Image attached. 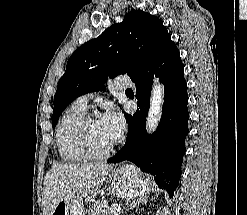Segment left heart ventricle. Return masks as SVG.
<instances>
[{"label": "left heart ventricle", "mask_w": 247, "mask_h": 215, "mask_svg": "<svg viewBox=\"0 0 247 215\" xmlns=\"http://www.w3.org/2000/svg\"><path fill=\"white\" fill-rule=\"evenodd\" d=\"M88 134L91 144L98 150H104L115 142L103 127L100 120H96L89 124Z\"/></svg>", "instance_id": "1"}]
</instances>
